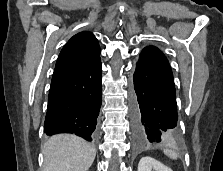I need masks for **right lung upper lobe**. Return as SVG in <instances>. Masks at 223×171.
<instances>
[{"label": "right lung upper lobe", "instance_id": "obj_1", "mask_svg": "<svg viewBox=\"0 0 223 171\" xmlns=\"http://www.w3.org/2000/svg\"><path fill=\"white\" fill-rule=\"evenodd\" d=\"M96 37L88 31L74 35L58 57L52 80L82 71L100 60Z\"/></svg>", "mask_w": 223, "mask_h": 171}]
</instances>
